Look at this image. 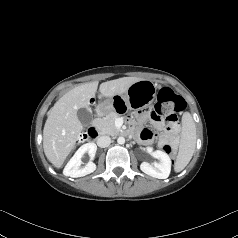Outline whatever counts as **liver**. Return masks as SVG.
I'll list each match as a JSON object with an SVG mask.
<instances>
[{"instance_id":"obj_1","label":"liver","mask_w":238,"mask_h":238,"mask_svg":"<svg viewBox=\"0 0 238 238\" xmlns=\"http://www.w3.org/2000/svg\"><path fill=\"white\" fill-rule=\"evenodd\" d=\"M137 77H123L100 84L99 91L104 97L126 93ZM98 81L81 84L64 94L48 111L43 129V148L47 159L57 168L76 144L83 126L77 111L86 108L95 97Z\"/></svg>"}]
</instances>
